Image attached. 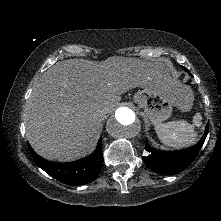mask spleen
Listing matches in <instances>:
<instances>
[{"instance_id": "spleen-1", "label": "spleen", "mask_w": 221, "mask_h": 221, "mask_svg": "<svg viewBox=\"0 0 221 221\" xmlns=\"http://www.w3.org/2000/svg\"><path fill=\"white\" fill-rule=\"evenodd\" d=\"M201 119V115L196 113L192 124L184 120L158 123L155 131L163 144L173 148L187 147L197 140L195 126H201Z\"/></svg>"}]
</instances>
